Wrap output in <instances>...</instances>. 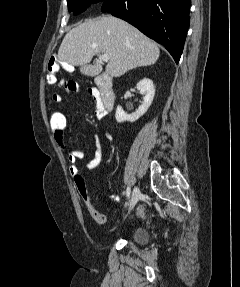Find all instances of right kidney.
<instances>
[{
    "label": "right kidney",
    "instance_id": "right-kidney-1",
    "mask_svg": "<svg viewBox=\"0 0 240 287\" xmlns=\"http://www.w3.org/2000/svg\"><path fill=\"white\" fill-rule=\"evenodd\" d=\"M137 90H139L142 95H145L143 97L142 105H140L138 109L130 115H127L121 108V106H117L115 118L118 123L124 121L129 122L137 121L141 116H143L147 112L150 105L152 104L155 95V87L151 79L144 78L143 80L139 81V83H137Z\"/></svg>",
    "mask_w": 240,
    "mask_h": 287
}]
</instances>
